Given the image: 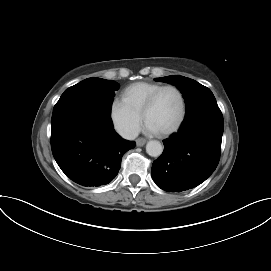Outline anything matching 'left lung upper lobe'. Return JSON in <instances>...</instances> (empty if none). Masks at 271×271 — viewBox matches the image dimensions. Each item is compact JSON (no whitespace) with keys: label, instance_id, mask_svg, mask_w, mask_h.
<instances>
[{"label":"left lung upper lobe","instance_id":"left-lung-upper-lobe-1","mask_svg":"<svg viewBox=\"0 0 271 271\" xmlns=\"http://www.w3.org/2000/svg\"><path fill=\"white\" fill-rule=\"evenodd\" d=\"M156 81L167 82L176 85L183 94L186 103V116L197 110L218 107L211 90L197 81L179 75L156 78Z\"/></svg>","mask_w":271,"mask_h":271}]
</instances>
